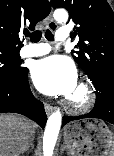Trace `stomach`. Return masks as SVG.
Returning <instances> with one entry per match:
<instances>
[{
  "instance_id": "1",
  "label": "stomach",
  "mask_w": 114,
  "mask_h": 156,
  "mask_svg": "<svg viewBox=\"0 0 114 156\" xmlns=\"http://www.w3.org/2000/svg\"><path fill=\"white\" fill-rule=\"evenodd\" d=\"M64 144L71 156H109L114 134L102 120H78L65 126Z\"/></svg>"
}]
</instances>
